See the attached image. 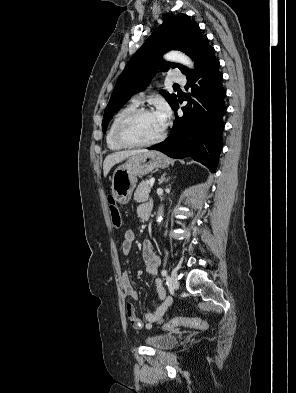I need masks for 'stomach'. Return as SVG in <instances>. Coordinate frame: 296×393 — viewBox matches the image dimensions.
Here are the masks:
<instances>
[{
    "instance_id": "stomach-1",
    "label": "stomach",
    "mask_w": 296,
    "mask_h": 393,
    "mask_svg": "<svg viewBox=\"0 0 296 393\" xmlns=\"http://www.w3.org/2000/svg\"><path fill=\"white\" fill-rule=\"evenodd\" d=\"M168 164V158L156 151L130 157L113 172L111 189L114 199L120 204H127L136 186L137 176L142 177L154 169L165 168Z\"/></svg>"
}]
</instances>
